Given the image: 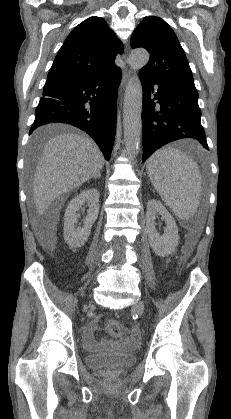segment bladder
<instances>
[{"mask_svg": "<svg viewBox=\"0 0 231 419\" xmlns=\"http://www.w3.org/2000/svg\"><path fill=\"white\" fill-rule=\"evenodd\" d=\"M136 360V355L118 351L111 353H93L85 357L86 365L90 368H125L135 364Z\"/></svg>", "mask_w": 231, "mask_h": 419, "instance_id": "31cf9c89", "label": "bladder"}]
</instances>
